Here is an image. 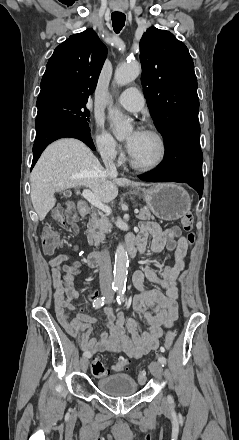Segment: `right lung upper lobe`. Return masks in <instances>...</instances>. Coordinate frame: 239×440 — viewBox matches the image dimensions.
I'll return each mask as SVG.
<instances>
[{
    "instance_id": "cb5924a9",
    "label": "right lung upper lobe",
    "mask_w": 239,
    "mask_h": 440,
    "mask_svg": "<svg viewBox=\"0 0 239 440\" xmlns=\"http://www.w3.org/2000/svg\"><path fill=\"white\" fill-rule=\"evenodd\" d=\"M106 56L107 48L93 29L70 36L49 59L37 102L57 96L88 99Z\"/></svg>"
}]
</instances>
